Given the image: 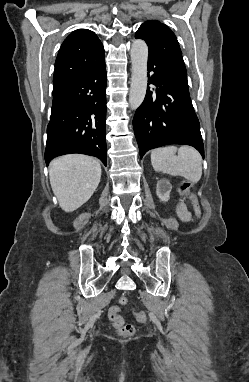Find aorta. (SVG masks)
Instances as JSON below:
<instances>
[{
	"instance_id": "aorta-1",
	"label": "aorta",
	"mask_w": 249,
	"mask_h": 382,
	"mask_svg": "<svg viewBox=\"0 0 249 382\" xmlns=\"http://www.w3.org/2000/svg\"><path fill=\"white\" fill-rule=\"evenodd\" d=\"M148 46L144 40L136 39L131 47L132 76L129 94L131 109H137L143 102L147 89Z\"/></svg>"
}]
</instances>
